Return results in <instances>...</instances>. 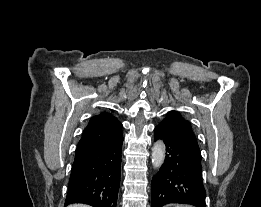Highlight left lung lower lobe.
Instances as JSON below:
<instances>
[{"label":"left lung lower lobe","instance_id":"obj_1","mask_svg":"<svg viewBox=\"0 0 261 207\" xmlns=\"http://www.w3.org/2000/svg\"><path fill=\"white\" fill-rule=\"evenodd\" d=\"M166 145V158L162 168L152 179L151 207L169 203L206 207V191L202 179V157L197 155L168 122L155 127L154 140Z\"/></svg>","mask_w":261,"mask_h":207}]
</instances>
